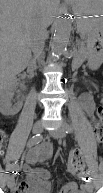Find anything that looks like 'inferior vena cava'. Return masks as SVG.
Wrapping results in <instances>:
<instances>
[{"label":"inferior vena cava","mask_w":103,"mask_h":193,"mask_svg":"<svg viewBox=\"0 0 103 193\" xmlns=\"http://www.w3.org/2000/svg\"><path fill=\"white\" fill-rule=\"evenodd\" d=\"M30 47L32 49L34 59L40 60L44 49V40L46 37V29L42 22L34 23L30 27Z\"/></svg>","instance_id":"602c4592"}]
</instances>
